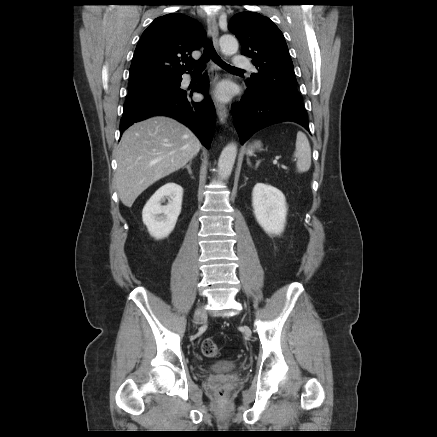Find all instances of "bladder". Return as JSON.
I'll list each match as a JSON object with an SVG mask.
<instances>
[{
    "instance_id": "31cf9c89",
    "label": "bladder",
    "mask_w": 437,
    "mask_h": 437,
    "mask_svg": "<svg viewBox=\"0 0 437 437\" xmlns=\"http://www.w3.org/2000/svg\"><path fill=\"white\" fill-rule=\"evenodd\" d=\"M239 368V365L236 361L233 360H222L216 363H213L207 367L208 371L217 372V373H227L235 371Z\"/></svg>"
}]
</instances>
